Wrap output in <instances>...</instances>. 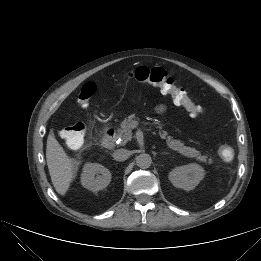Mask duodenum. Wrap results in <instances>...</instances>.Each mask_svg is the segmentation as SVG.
I'll return each instance as SVG.
<instances>
[{
    "label": "duodenum",
    "mask_w": 261,
    "mask_h": 261,
    "mask_svg": "<svg viewBox=\"0 0 261 261\" xmlns=\"http://www.w3.org/2000/svg\"><path fill=\"white\" fill-rule=\"evenodd\" d=\"M115 131L112 128H108L102 136V145L106 148H111L115 143Z\"/></svg>",
    "instance_id": "410a0bca"
}]
</instances>
